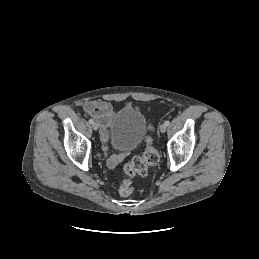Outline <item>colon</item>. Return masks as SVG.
Listing matches in <instances>:
<instances>
[{
	"label": "colon",
	"mask_w": 259,
	"mask_h": 259,
	"mask_svg": "<svg viewBox=\"0 0 259 259\" xmlns=\"http://www.w3.org/2000/svg\"><path fill=\"white\" fill-rule=\"evenodd\" d=\"M159 161V155L154 148L152 141L147 140L146 148L141 156L134 157L124 166L125 177L119 185L120 195L127 197L132 195L133 186L131 179L135 176H144L149 167L154 166Z\"/></svg>",
	"instance_id": "colon-1"
}]
</instances>
